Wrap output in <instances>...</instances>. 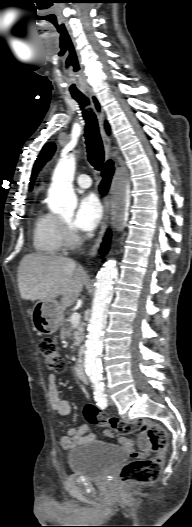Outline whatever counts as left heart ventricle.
Instances as JSON below:
<instances>
[{
	"label": "left heart ventricle",
	"instance_id": "left-heart-ventricle-1",
	"mask_svg": "<svg viewBox=\"0 0 192 527\" xmlns=\"http://www.w3.org/2000/svg\"><path fill=\"white\" fill-rule=\"evenodd\" d=\"M65 220H66V221H69V220H70V215H69V216H66V217H65Z\"/></svg>",
	"mask_w": 192,
	"mask_h": 527
}]
</instances>
